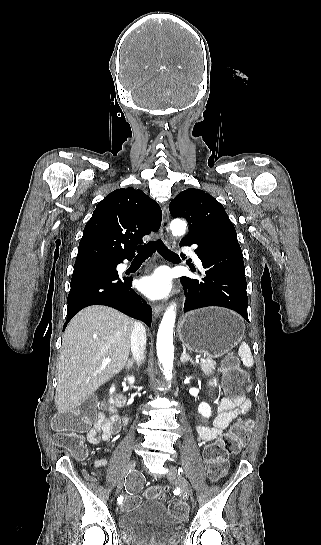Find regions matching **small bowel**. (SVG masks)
Segmentation results:
<instances>
[{
	"label": "small bowel",
	"mask_w": 321,
	"mask_h": 545,
	"mask_svg": "<svg viewBox=\"0 0 321 545\" xmlns=\"http://www.w3.org/2000/svg\"><path fill=\"white\" fill-rule=\"evenodd\" d=\"M209 385H216V379L213 378L210 380ZM250 409L251 401L244 395L236 398L226 397L221 399L216 406V416L213 420V426L210 427L206 424H200L198 426V440L205 443L216 439L238 415L247 413ZM116 432L117 427L103 415H99L95 424L87 432V439L92 444L105 443L109 442ZM105 465H107L106 459L94 461V466L97 468Z\"/></svg>",
	"instance_id": "c3829d8e"
}]
</instances>
